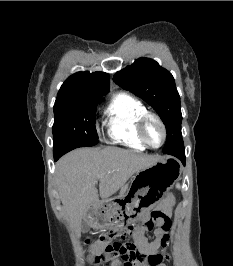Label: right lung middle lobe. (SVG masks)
I'll return each mask as SVG.
<instances>
[{"instance_id":"1","label":"right lung middle lobe","mask_w":233,"mask_h":266,"mask_svg":"<svg viewBox=\"0 0 233 266\" xmlns=\"http://www.w3.org/2000/svg\"><path fill=\"white\" fill-rule=\"evenodd\" d=\"M100 97L55 101L54 155L98 143L95 113Z\"/></svg>"}]
</instances>
